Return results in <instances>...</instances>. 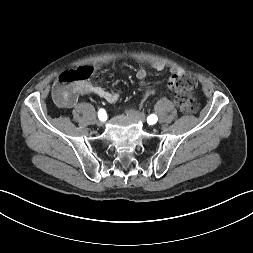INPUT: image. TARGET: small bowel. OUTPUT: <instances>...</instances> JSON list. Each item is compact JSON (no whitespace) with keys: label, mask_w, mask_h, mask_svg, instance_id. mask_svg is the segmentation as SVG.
Returning a JSON list of instances; mask_svg holds the SVG:
<instances>
[{"label":"small bowel","mask_w":253,"mask_h":253,"mask_svg":"<svg viewBox=\"0 0 253 253\" xmlns=\"http://www.w3.org/2000/svg\"><path fill=\"white\" fill-rule=\"evenodd\" d=\"M153 68L157 72H161L164 69V66L160 63H155L153 65ZM90 69L91 71L93 70V68H90ZM170 72H171V78L179 76L184 73V71L178 67L171 68ZM146 76H147V72L144 68H140L137 70L136 77L141 85L145 84ZM87 94H94L109 103L116 102L120 96V93L118 91H108L100 86H95L91 84L89 81H81L75 85L74 100L65 106L72 107L76 103L78 95H87Z\"/></svg>","instance_id":"c3829d8e"}]
</instances>
